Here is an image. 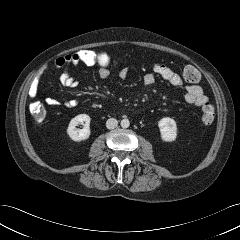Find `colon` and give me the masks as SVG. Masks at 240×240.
<instances>
[{"label":"colon","instance_id":"5ec220e1","mask_svg":"<svg viewBox=\"0 0 240 240\" xmlns=\"http://www.w3.org/2000/svg\"><path fill=\"white\" fill-rule=\"evenodd\" d=\"M71 59L75 66H96L119 69L124 65V61L114 54L107 51H96L92 49H81L71 53ZM183 78L188 83H198L201 79L200 72L193 66H187L183 70ZM30 113L37 122H42L46 117L44 106L34 101L30 104ZM202 122L206 125L212 123L214 119V108L211 104H207L202 108Z\"/></svg>","mask_w":240,"mask_h":240}]
</instances>
